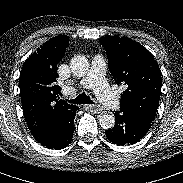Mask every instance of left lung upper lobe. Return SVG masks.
Listing matches in <instances>:
<instances>
[{"instance_id": "5c2ea615", "label": "left lung upper lobe", "mask_w": 183, "mask_h": 183, "mask_svg": "<svg viewBox=\"0 0 183 183\" xmlns=\"http://www.w3.org/2000/svg\"><path fill=\"white\" fill-rule=\"evenodd\" d=\"M108 57V68L117 85H125L120 99L122 110L153 121L161 94V71L153 55L128 37L100 38Z\"/></svg>"}]
</instances>
